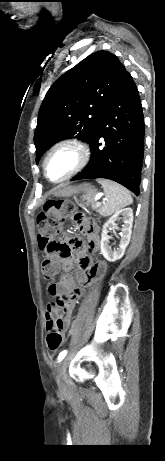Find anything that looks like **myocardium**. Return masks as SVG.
<instances>
[{
	"instance_id": "obj_1",
	"label": "myocardium",
	"mask_w": 165,
	"mask_h": 461,
	"mask_svg": "<svg viewBox=\"0 0 165 461\" xmlns=\"http://www.w3.org/2000/svg\"><path fill=\"white\" fill-rule=\"evenodd\" d=\"M68 149L72 151L75 155V162L73 166L68 170V172L57 180H52L47 173V162L48 159L58 150ZM90 159V150L85 142L78 138H65L55 142L45 153L43 158L42 168L45 178L51 183H61L64 182L80 171H82L88 164Z\"/></svg>"
}]
</instances>
